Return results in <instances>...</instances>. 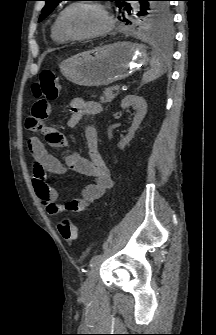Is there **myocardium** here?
Instances as JSON below:
<instances>
[{"label":"myocardium","instance_id":"myocardium-1","mask_svg":"<svg viewBox=\"0 0 216 335\" xmlns=\"http://www.w3.org/2000/svg\"><path fill=\"white\" fill-rule=\"evenodd\" d=\"M80 5H89V6H93L97 8L102 13V15L104 16L106 20L105 27L101 30H98L92 33L81 34V35H73L67 32L63 25V18L69 10H71L74 7L80 6ZM56 24H57L58 31L65 39L67 40H87V39H95V38H99V37L107 35L114 27V19L110 15L108 10L102 4L98 2L77 1V2H72L71 4H69L59 13Z\"/></svg>","mask_w":216,"mask_h":335}]
</instances>
